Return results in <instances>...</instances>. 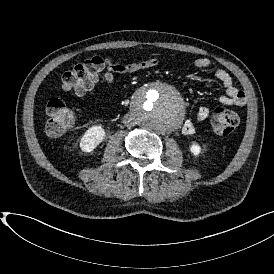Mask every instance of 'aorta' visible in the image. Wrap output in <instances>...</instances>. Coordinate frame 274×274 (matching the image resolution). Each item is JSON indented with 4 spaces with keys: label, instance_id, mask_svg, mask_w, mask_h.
Returning <instances> with one entry per match:
<instances>
[{
    "label": "aorta",
    "instance_id": "762f6f07",
    "mask_svg": "<svg viewBox=\"0 0 274 274\" xmlns=\"http://www.w3.org/2000/svg\"><path fill=\"white\" fill-rule=\"evenodd\" d=\"M136 124L159 133L179 128L185 116L183 99L172 86L161 82L141 89L131 102Z\"/></svg>",
    "mask_w": 274,
    "mask_h": 274
}]
</instances>
